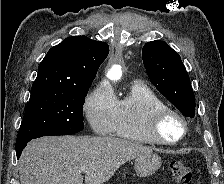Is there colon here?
<instances>
[{
  "label": "colon",
  "instance_id": "obj_1",
  "mask_svg": "<svg viewBox=\"0 0 224 184\" xmlns=\"http://www.w3.org/2000/svg\"><path fill=\"white\" fill-rule=\"evenodd\" d=\"M170 170L174 181L177 184H190L192 179L191 168L181 161H172Z\"/></svg>",
  "mask_w": 224,
  "mask_h": 184
}]
</instances>
